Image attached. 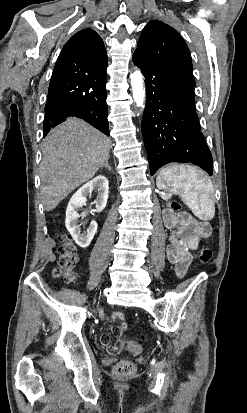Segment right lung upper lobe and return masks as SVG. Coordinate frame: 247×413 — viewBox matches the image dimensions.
Instances as JSON below:
<instances>
[{"instance_id":"1","label":"right lung upper lobe","mask_w":247,"mask_h":413,"mask_svg":"<svg viewBox=\"0 0 247 413\" xmlns=\"http://www.w3.org/2000/svg\"><path fill=\"white\" fill-rule=\"evenodd\" d=\"M104 67H107V54L103 40L92 29H84L64 45L54 70L86 73Z\"/></svg>"}]
</instances>
